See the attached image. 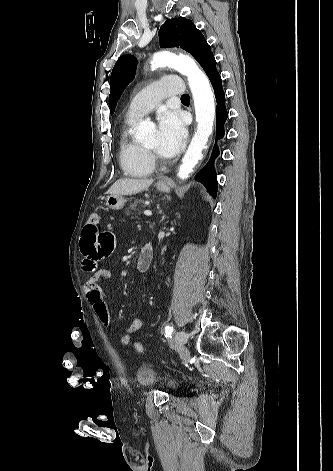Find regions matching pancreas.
<instances>
[{"mask_svg":"<svg viewBox=\"0 0 333 471\" xmlns=\"http://www.w3.org/2000/svg\"><path fill=\"white\" fill-rule=\"evenodd\" d=\"M143 200H136L133 203L130 204L129 209L130 210H135V208L138 206V204H142ZM129 209L127 210V214H129Z\"/></svg>","mask_w":333,"mask_h":471,"instance_id":"cf45deb5","label":"pancreas"}]
</instances>
